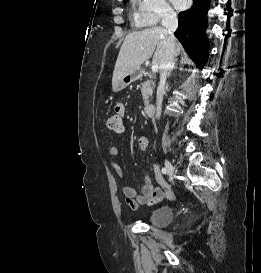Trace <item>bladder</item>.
<instances>
[{"label":"bladder","mask_w":261,"mask_h":273,"mask_svg":"<svg viewBox=\"0 0 261 273\" xmlns=\"http://www.w3.org/2000/svg\"><path fill=\"white\" fill-rule=\"evenodd\" d=\"M172 210L168 206H160L154 209L147 217V222L150 225L163 227L172 220Z\"/></svg>","instance_id":"31cf9c89"}]
</instances>
